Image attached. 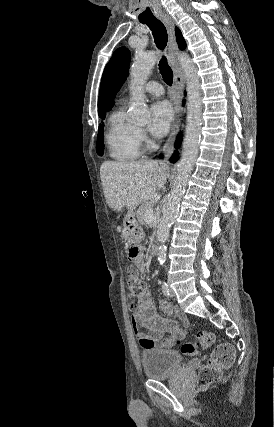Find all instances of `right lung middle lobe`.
<instances>
[{
  "label": "right lung middle lobe",
  "mask_w": 274,
  "mask_h": 427,
  "mask_svg": "<svg viewBox=\"0 0 274 427\" xmlns=\"http://www.w3.org/2000/svg\"><path fill=\"white\" fill-rule=\"evenodd\" d=\"M105 115L106 112L104 114H99L100 118L105 119ZM103 134H104V129H103V123L102 125H99V131H98V136H97V153L99 155H103V150H104V143H103Z\"/></svg>",
  "instance_id": "obj_1"
}]
</instances>
